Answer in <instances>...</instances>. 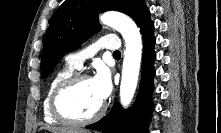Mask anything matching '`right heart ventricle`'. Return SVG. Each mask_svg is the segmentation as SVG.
I'll use <instances>...</instances> for the list:
<instances>
[{
    "label": "right heart ventricle",
    "instance_id": "1",
    "mask_svg": "<svg viewBox=\"0 0 221 133\" xmlns=\"http://www.w3.org/2000/svg\"><path fill=\"white\" fill-rule=\"evenodd\" d=\"M74 73V68L70 67L69 65L63 67L62 69L58 70L51 80L48 83V86L45 91L43 103H42V112L44 120L50 124H60L61 121L58 120L53 116L50 110V97L54 90V88L65 78L71 76Z\"/></svg>",
    "mask_w": 221,
    "mask_h": 133
}]
</instances>
